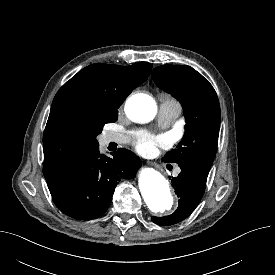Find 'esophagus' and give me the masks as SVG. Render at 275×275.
Segmentation results:
<instances>
[{
  "mask_svg": "<svg viewBox=\"0 0 275 275\" xmlns=\"http://www.w3.org/2000/svg\"><path fill=\"white\" fill-rule=\"evenodd\" d=\"M150 165H155V163H152V162H151Z\"/></svg>",
  "mask_w": 275,
  "mask_h": 275,
  "instance_id": "34e87169",
  "label": "esophagus"
}]
</instances>
